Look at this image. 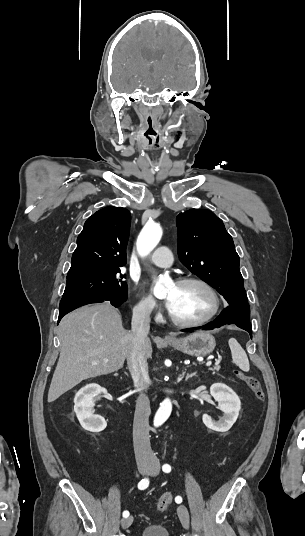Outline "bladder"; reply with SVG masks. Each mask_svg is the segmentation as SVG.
Masks as SVG:
<instances>
[{"instance_id": "31cf9c89", "label": "bladder", "mask_w": 305, "mask_h": 536, "mask_svg": "<svg viewBox=\"0 0 305 536\" xmlns=\"http://www.w3.org/2000/svg\"><path fill=\"white\" fill-rule=\"evenodd\" d=\"M137 536H170L168 528L160 524H151L142 528Z\"/></svg>"}]
</instances>
